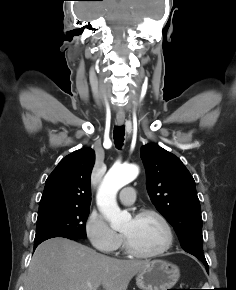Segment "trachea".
Segmentation results:
<instances>
[{
  "label": "trachea",
  "mask_w": 236,
  "mask_h": 290,
  "mask_svg": "<svg viewBox=\"0 0 236 290\" xmlns=\"http://www.w3.org/2000/svg\"><path fill=\"white\" fill-rule=\"evenodd\" d=\"M124 135H125V128L124 126L115 127L114 128V143L115 146L120 149L123 146L124 142Z\"/></svg>",
  "instance_id": "3493384b"
}]
</instances>
